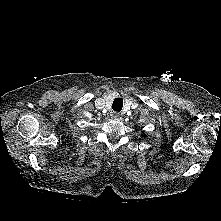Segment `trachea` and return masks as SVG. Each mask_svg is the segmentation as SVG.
I'll use <instances>...</instances> for the list:
<instances>
[{
    "label": "trachea",
    "mask_w": 221,
    "mask_h": 221,
    "mask_svg": "<svg viewBox=\"0 0 221 221\" xmlns=\"http://www.w3.org/2000/svg\"><path fill=\"white\" fill-rule=\"evenodd\" d=\"M123 107V100L121 98H116L113 101L112 108L114 111H121Z\"/></svg>",
    "instance_id": "obj_1"
}]
</instances>
